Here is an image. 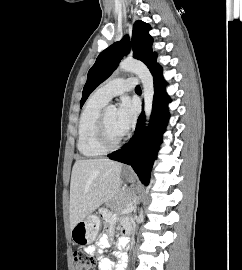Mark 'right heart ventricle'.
<instances>
[{
	"instance_id": "1",
	"label": "right heart ventricle",
	"mask_w": 242,
	"mask_h": 270,
	"mask_svg": "<svg viewBox=\"0 0 242 270\" xmlns=\"http://www.w3.org/2000/svg\"><path fill=\"white\" fill-rule=\"evenodd\" d=\"M106 103L93 94L81 113L78 125L77 148L84 157L92 158L106 153L96 140L97 122Z\"/></svg>"
}]
</instances>
